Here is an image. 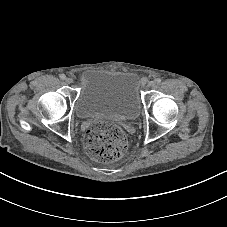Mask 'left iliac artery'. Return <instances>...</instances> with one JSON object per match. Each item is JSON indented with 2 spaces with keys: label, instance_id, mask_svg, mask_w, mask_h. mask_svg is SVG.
Listing matches in <instances>:
<instances>
[{
  "label": "left iliac artery",
  "instance_id": "44dca946",
  "mask_svg": "<svg viewBox=\"0 0 227 227\" xmlns=\"http://www.w3.org/2000/svg\"><path fill=\"white\" fill-rule=\"evenodd\" d=\"M155 82H156V83H160V82H161V78L155 79Z\"/></svg>",
  "mask_w": 227,
  "mask_h": 227
}]
</instances>
